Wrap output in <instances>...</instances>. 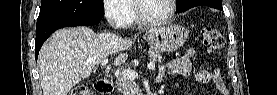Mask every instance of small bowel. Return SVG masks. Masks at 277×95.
<instances>
[{
	"label": "small bowel",
	"instance_id": "obj_1",
	"mask_svg": "<svg viewBox=\"0 0 277 95\" xmlns=\"http://www.w3.org/2000/svg\"><path fill=\"white\" fill-rule=\"evenodd\" d=\"M195 55L196 49L192 48L189 49L185 55L162 64L158 68L157 78L161 80L169 72L178 76H193L197 81L214 84L218 88L220 94L228 95L227 86L218 72H210L208 70H200L195 73L192 72L191 59L194 58Z\"/></svg>",
	"mask_w": 277,
	"mask_h": 95
}]
</instances>
